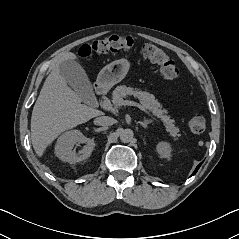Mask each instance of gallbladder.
I'll list each match as a JSON object with an SVG mask.
<instances>
[{
  "label": "gallbladder",
  "mask_w": 239,
  "mask_h": 239,
  "mask_svg": "<svg viewBox=\"0 0 239 239\" xmlns=\"http://www.w3.org/2000/svg\"><path fill=\"white\" fill-rule=\"evenodd\" d=\"M60 74L85 102L95 99L93 88L83 67L74 60L59 64Z\"/></svg>",
  "instance_id": "obj_1"
}]
</instances>
